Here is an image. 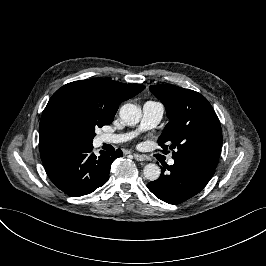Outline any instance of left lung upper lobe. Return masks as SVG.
<instances>
[{"mask_svg":"<svg viewBox=\"0 0 266 266\" xmlns=\"http://www.w3.org/2000/svg\"><path fill=\"white\" fill-rule=\"evenodd\" d=\"M150 91L164 104L170 122L158 138L160 146L173 151V158H189L214 167L219 161L222 130L210 103L200 93L178 86L152 85Z\"/></svg>","mask_w":266,"mask_h":266,"instance_id":"5c2ea615","label":"left lung upper lobe"}]
</instances>
